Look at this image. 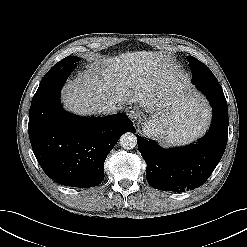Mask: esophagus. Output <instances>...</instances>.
Listing matches in <instances>:
<instances>
[{"mask_svg":"<svg viewBox=\"0 0 247 247\" xmlns=\"http://www.w3.org/2000/svg\"><path fill=\"white\" fill-rule=\"evenodd\" d=\"M126 113L133 122L137 121L140 117V111L137 106L128 107Z\"/></svg>","mask_w":247,"mask_h":247,"instance_id":"1","label":"esophagus"}]
</instances>
